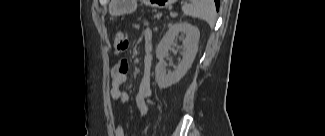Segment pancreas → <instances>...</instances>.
Returning <instances> with one entry per match:
<instances>
[{"mask_svg": "<svg viewBox=\"0 0 325 136\" xmlns=\"http://www.w3.org/2000/svg\"><path fill=\"white\" fill-rule=\"evenodd\" d=\"M148 19H154L156 24H163L164 19L167 18L166 12H160L159 9H152L151 12H148L144 15Z\"/></svg>", "mask_w": 325, "mask_h": 136, "instance_id": "1", "label": "pancreas"}]
</instances>
